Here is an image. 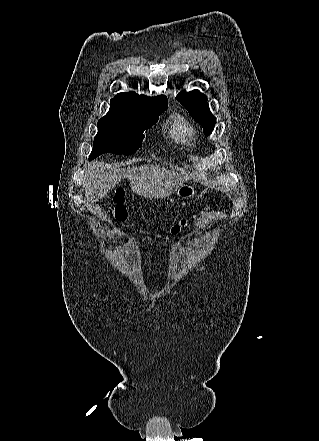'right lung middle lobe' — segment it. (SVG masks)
Listing matches in <instances>:
<instances>
[{
  "mask_svg": "<svg viewBox=\"0 0 319 441\" xmlns=\"http://www.w3.org/2000/svg\"><path fill=\"white\" fill-rule=\"evenodd\" d=\"M167 105L155 109L112 110L98 121V133L90 160L103 153L133 154L141 145L143 132L154 125Z\"/></svg>",
  "mask_w": 319,
  "mask_h": 441,
  "instance_id": "obj_1",
  "label": "right lung middle lobe"
}]
</instances>
